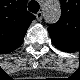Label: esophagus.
Masks as SVG:
<instances>
[{"mask_svg": "<svg viewBox=\"0 0 80 80\" xmlns=\"http://www.w3.org/2000/svg\"><path fill=\"white\" fill-rule=\"evenodd\" d=\"M42 17H43V13L41 11H39L37 14H36V18L38 21H41L42 20Z\"/></svg>", "mask_w": 80, "mask_h": 80, "instance_id": "34e87169", "label": "esophagus"}]
</instances>
